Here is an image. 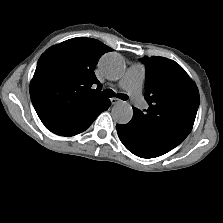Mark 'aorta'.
<instances>
[{
	"mask_svg": "<svg viewBox=\"0 0 223 223\" xmlns=\"http://www.w3.org/2000/svg\"><path fill=\"white\" fill-rule=\"evenodd\" d=\"M99 67L107 79L117 80L124 73L125 62L118 54L107 53L100 59ZM111 115L114 122L127 124L132 119L133 109L129 103L120 101L112 107Z\"/></svg>",
	"mask_w": 223,
	"mask_h": 223,
	"instance_id": "762f6f07",
	"label": "aorta"
}]
</instances>
